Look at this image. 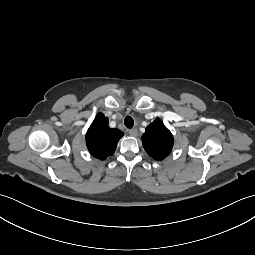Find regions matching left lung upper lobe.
Returning <instances> with one entry per match:
<instances>
[{"instance_id": "obj_1", "label": "left lung upper lobe", "mask_w": 255, "mask_h": 255, "mask_svg": "<svg viewBox=\"0 0 255 255\" xmlns=\"http://www.w3.org/2000/svg\"><path fill=\"white\" fill-rule=\"evenodd\" d=\"M142 143L145 151L155 160H163L167 157L173 147V136L157 118L142 135Z\"/></svg>"}]
</instances>
